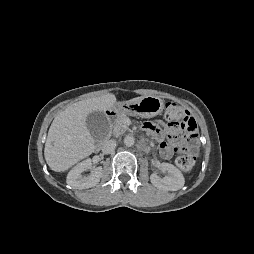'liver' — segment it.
<instances>
[{
	"label": "liver",
	"mask_w": 254,
	"mask_h": 254,
	"mask_svg": "<svg viewBox=\"0 0 254 254\" xmlns=\"http://www.w3.org/2000/svg\"><path fill=\"white\" fill-rule=\"evenodd\" d=\"M136 97L130 102L143 98ZM116 105L113 94L85 99L68 106L53 120L44 148L45 160L55 172H63L80 160L88 157L95 149L86 118L93 111L105 112Z\"/></svg>",
	"instance_id": "obj_1"
}]
</instances>
